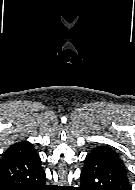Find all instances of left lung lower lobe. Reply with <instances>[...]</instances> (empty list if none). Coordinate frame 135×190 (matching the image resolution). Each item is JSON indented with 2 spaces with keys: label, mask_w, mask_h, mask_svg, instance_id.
Segmentation results:
<instances>
[{
  "label": "left lung lower lobe",
  "mask_w": 135,
  "mask_h": 190,
  "mask_svg": "<svg viewBox=\"0 0 135 190\" xmlns=\"http://www.w3.org/2000/svg\"><path fill=\"white\" fill-rule=\"evenodd\" d=\"M84 162L80 190H131L127 171L109 159L89 153Z\"/></svg>",
  "instance_id": "1"
}]
</instances>
